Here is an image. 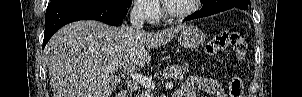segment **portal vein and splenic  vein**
Here are the masks:
<instances>
[{
  "label": "portal vein and splenic vein",
  "instance_id": "1",
  "mask_svg": "<svg viewBox=\"0 0 302 97\" xmlns=\"http://www.w3.org/2000/svg\"><path fill=\"white\" fill-rule=\"evenodd\" d=\"M116 70V67L115 66H108L105 68V72L106 73H112ZM131 77L136 80L138 83L142 84L145 88H148V89H154L155 88V85L154 83L151 81V79L141 75V74H131Z\"/></svg>",
  "mask_w": 302,
  "mask_h": 97
}]
</instances>
